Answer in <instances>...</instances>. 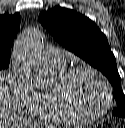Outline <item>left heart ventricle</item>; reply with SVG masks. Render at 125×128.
<instances>
[{
    "label": "left heart ventricle",
    "instance_id": "1",
    "mask_svg": "<svg viewBox=\"0 0 125 128\" xmlns=\"http://www.w3.org/2000/svg\"><path fill=\"white\" fill-rule=\"evenodd\" d=\"M68 96L75 108L84 114H96L106 103L101 81L87 71L76 75L68 87Z\"/></svg>",
    "mask_w": 125,
    "mask_h": 128
}]
</instances>
